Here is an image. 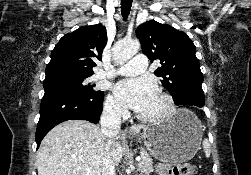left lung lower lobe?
<instances>
[{
	"label": "left lung lower lobe",
	"mask_w": 251,
	"mask_h": 175,
	"mask_svg": "<svg viewBox=\"0 0 251 175\" xmlns=\"http://www.w3.org/2000/svg\"><path fill=\"white\" fill-rule=\"evenodd\" d=\"M174 102L176 105L183 107V113L187 118L200 117L203 113L204 100L182 96L174 100Z\"/></svg>",
	"instance_id": "left-lung-lower-lobe-1"
}]
</instances>
